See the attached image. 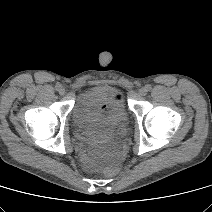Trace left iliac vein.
<instances>
[{
    "label": "left iliac vein",
    "instance_id": "1",
    "mask_svg": "<svg viewBox=\"0 0 212 212\" xmlns=\"http://www.w3.org/2000/svg\"><path fill=\"white\" fill-rule=\"evenodd\" d=\"M139 94L141 96H145L147 94V89L145 87H142L139 89Z\"/></svg>",
    "mask_w": 212,
    "mask_h": 212
}]
</instances>
